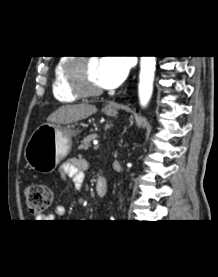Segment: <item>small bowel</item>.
I'll return each instance as SVG.
<instances>
[{
    "label": "small bowel",
    "instance_id": "small-bowel-1",
    "mask_svg": "<svg viewBox=\"0 0 218 277\" xmlns=\"http://www.w3.org/2000/svg\"><path fill=\"white\" fill-rule=\"evenodd\" d=\"M88 169V162L84 159H73L64 162L59 168V174L62 178L71 179L78 189H81L85 183V172ZM65 214V208L57 205L54 209L43 217L42 222H53V220L62 217Z\"/></svg>",
    "mask_w": 218,
    "mask_h": 277
}]
</instances>
